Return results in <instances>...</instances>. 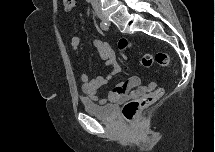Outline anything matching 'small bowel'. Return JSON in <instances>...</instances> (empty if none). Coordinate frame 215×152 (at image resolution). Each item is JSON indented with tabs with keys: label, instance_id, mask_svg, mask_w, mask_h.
I'll use <instances>...</instances> for the list:
<instances>
[{
	"label": "small bowel",
	"instance_id": "obj_1",
	"mask_svg": "<svg viewBox=\"0 0 215 152\" xmlns=\"http://www.w3.org/2000/svg\"><path fill=\"white\" fill-rule=\"evenodd\" d=\"M82 42L83 39L80 36L72 37L70 41L71 48L78 53ZM93 45L96 48L99 58L106 63L109 69L107 73L93 79H90L86 74L81 75L82 91L93 100L100 104L114 103L127 98H138L157 87V81L150 82L148 85H142L139 77L132 76L124 82L117 83L105 97L99 96L98 90L104 86L112 76L120 74L121 69L109 43L101 40H94Z\"/></svg>",
	"mask_w": 215,
	"mask_h": 152
}]
</instances>
